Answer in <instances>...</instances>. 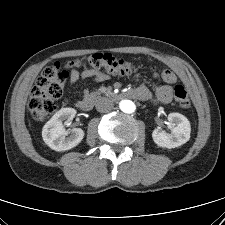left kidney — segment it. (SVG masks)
<instances>
[{
	"label": "left kidney",
	"mask_w": 225,
	"mask_h": 225,
	"mask_svg": "<svg viewBox=\"0 0 225 225\" xmlns=\"http://www.w3.org/2000/svg\"><path fill=\"white\" fill-rule=\"evenodd\" d=\"M168 120L173 124L172 134L161 129L152 133L153 141L160 147L175 148L185 144L190 139L191 127L188 119L180 113H170Z\"/></svg>",
	"instance_id": "obj_1"
}]
</instances>
